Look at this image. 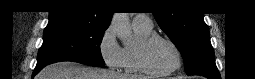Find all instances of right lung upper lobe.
I'll return each mask as SVG.
<instances>
[{
    "instance_id": "cb5924a9",
    "label": "right lung upper lobe",
    "mask_w": 255,
    "mask_h": 79,
    "mask_svg": "<svg viewBox=\"0 0 255 79\" xmlns=\"http://www.w3.org/2000/svg\"><path fill=\"white\" fill-rule=\"evenodd\" d=\"M49 14V23L67 22L108 28L112 12H103L106 5L99 0H63Z\"/></svg>"
}]
</instances>
